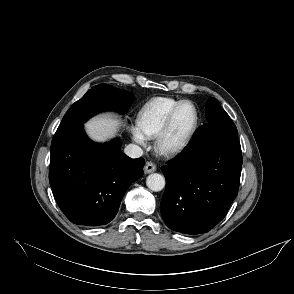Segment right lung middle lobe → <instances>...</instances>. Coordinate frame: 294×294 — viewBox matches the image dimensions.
<instances>
[{"mask_svg":"<svg viewBox=\"0 0 294 294\" xmlns=\"http://www.w3.org/2000/svg\"><path fill=\"white\" fill-rule=\"evenodd\" d=\"M133 97L127 91H121L118 95L116 102L112 105L103 106L95 103L91 96L86 93L80 100L75 102L63 117L58 130L68 128L80 123H84L94 114L105 110H117L125 113L129 108Z\"/></svg>","mask_w":294,"mask_h":294,"instance_id":"right-lung-middle-lobe-1","label":"right lung middle lobe"}]
</instances>
